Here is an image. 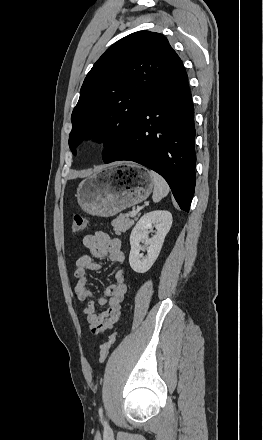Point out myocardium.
Returning a JSON list of instances; mask_svg holds the SVG:
<instances>
[{"label": "myocardium", "instance_id": "f54148a6", "mask_svg": "<svg viewBox=\"0 0 263 440\" xmlns=\"http://www.w3.org/2000/svg\"><path fill=\"white\" fill-rule=\"evenodd\" d=\"M92 146H95V143H92Z\"/></svg>", "mask_w": 263, "mask_h": 440}]
</instances>
